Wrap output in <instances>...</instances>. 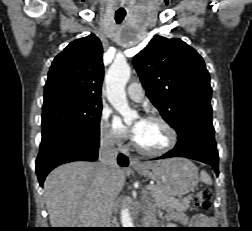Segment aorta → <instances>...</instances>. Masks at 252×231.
Segmentation results:
<instances>
[{
    "instance_id": "aorta-1",
    "label": "aorta",
    "mask_w": 252,
    "mask_h": 231,
    "mask_svg": "<svg viewBox=\"0 0 252 231\" xmlns=\"http://www.w3.org/2000/svg\"><path fill=\"white\" fill-rule=\"evenodd\" d=\"M130 75V66L123 60H115L106 75L107 98L127 124L137 116L136 112L130 109L125 93ZM121 222L124 228H134L133 220L126 207L121 210Z\"/></svg>"
}]
</instances>
